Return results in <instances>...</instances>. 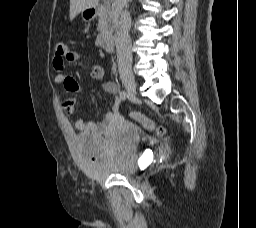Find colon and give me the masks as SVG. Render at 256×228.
Listing matches in <instances>:
<instances>
[{
  "label": "colon",
  "mask_w": 256,
  "mask_h": 228,
  "mask_svg": "<svg viewBox=\"0 0 256 228\" xmlns=\"http://www.w3.org/2000/svg\"><path fill=\"white\" fill-rule=\"evenodd\" d=\"M69 53V48L63 40H57L55 42V53L54 57L58 59L59 62L66 60V56ZM130 117L138 122L145 129L155 132L158 135H163L166 129L163 126L157 125L153 120L149 119L140 112L132 111Z\"/></svg>",
  "instance_id": "obj_1"
}]
</instances>
